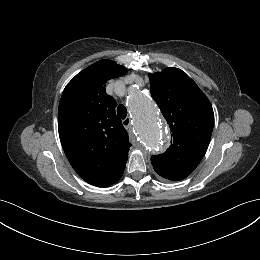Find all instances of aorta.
Listing matches in <instances>:
<instances>
[{
	"label": "aorta",
	"instance_id": "aorta-1",
	"mask_svg": "<svg viewBox=\"0 0 260 260\" xmlns=\"http://www.w3.org/2000/svg\"><path fill=\"white\" fill-rule=\"evenodd\" d=\"M129 105L135 121V131L144 147L152 154L162 152L166 146L156 109L140 89L131 87Z\"/></svg>",
	"mask_w": 260,
	"mask_h": 260
}]
</instances>
